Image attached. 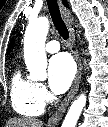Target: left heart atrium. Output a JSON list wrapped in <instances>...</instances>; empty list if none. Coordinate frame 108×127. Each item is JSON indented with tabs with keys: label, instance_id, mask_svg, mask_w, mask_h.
<instances>
[{
	"label": "left heart atrium",
	"instance_id": "39dd6f15",
	"mask_svg": "<svg viewBox=\"0 0 108 127\" xmlns=\"http://www.w3.org/2000/svg\"><path fill=\"white\" fill-rule=\"evenodd\" d=\"M75 72L74 62L68 54L60 53L53 56L48 66L51 89L57 94L65 92L71 85Z\"/></svg>",
	"mask_w": 108,
	"mask_h": 127
}]
</instances>
